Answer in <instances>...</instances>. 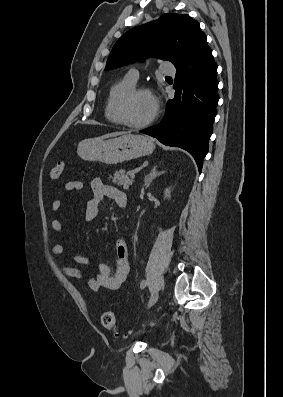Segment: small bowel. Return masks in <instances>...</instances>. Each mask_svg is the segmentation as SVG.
I'll return each instance as SVG.
<instances>
[{"label": "small bowel", "mask_w": 283, "mask_h": 397, "mask_svg": "<svg viewBox=\"0 0 283 397\" xmlns=\"http://www.w3.org/2000/svg\"><path fill=\"white\" fill-rule=\"evenodd\" d=\"M67 191H80L83 189V183L78 180L68 181L65 184ZM92 197L87 202L85 210V219L87 222L95 221L99 216L100 206L105 199L112 200L118 207L124 208L127 204V197L124 192L110 185H105L99 178H95L91 182ZM62 202L56 199L52 203V211L58 213L61 210ZM51 227L54 232L61 234L63 232V224L58 218H53ZM116 262L114 267L106 263L98 265V272L95 277L91 278L88 285L91 290L99 291L100 289L117 290L125 281L129 273L128 250L126 244L122 240H117L114 245ZM53 255H61L64 252V246L56 243L51 247ZM74 261L78 265H89L90 259L84 255H76ZM63 274L70 278L81 279L83 271L79 267H63Z\"/></svg>", "instance_id": "c3829d8e"}]
</instances>
